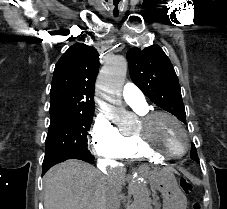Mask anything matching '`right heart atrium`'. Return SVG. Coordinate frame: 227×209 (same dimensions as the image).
Listing matches in <instances>:
<instances>
[{
    "label": "right heart atrium",
    "instance_id": "d8ad5b80",
    "mask_svg": "<svg viewBox=\"0 0 227 209\" xmlns=\"http://www.w3.org/2000/svg\"><path fill=\"white\" fill-rule=\"evenodd\" d=\"M91 140L93 154L111 160L120 158L126 143V136L108 119L99 117L93 124Z\"/></svg>",
    "mask_w": 227,
    "mask_h": 209
}]
</instances>
